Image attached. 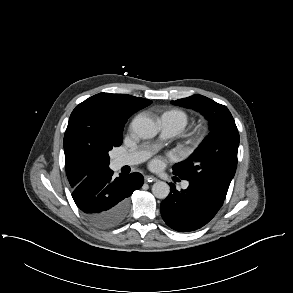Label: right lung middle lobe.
<instances>
[{
  "mask_svg": "<svg viewBox=\"0 0 293 293\" xmlns=\"http://www.w3.org/2000/svg\"><path fill=\"white\" fill-rule=\"evenodd\" d=\"M125 122L101 115L92 105L83 107V118L78 132L77 157L88 171L108 168L109 151L121 145ZM89 222L101 228H113L122 216L89 218Z\"/></svg>",
  "mask_w": 293,
  "mask_h": 293,
  "instance_id": "1",
  "label": "right lung middle lobe"
}]
</instances>
